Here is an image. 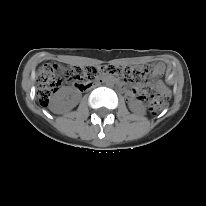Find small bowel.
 I'll use <instances>...</instances> for the list:
<instances>
[{"label": "small bowel", "instance_id": "obj_1", "mask_svg": "<svg viewBox=\"0 0 206 206\" xmlns=\"http://www.w3.org/2000/svg\"><path fill=\"white\" fill-rule=\"evenodd\" d=\"M164 64L163 63H159L154 67V73L156 74H161L164 71ZM131 94H133V91L130 92Z\"/></svg>", "mask_w": 206, "mask_h": 206}]
</instances>
